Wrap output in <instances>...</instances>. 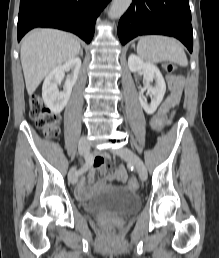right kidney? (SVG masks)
<instances>
[{
	"label": "right kidney",
	"instance_id": "right-kidney-1",
	"mask_svg": "<svg viewBox=\"0 0 219 258\" xmlns=\"http://www.w3.org/2000/svg\"><path fill=\"white\" fill-rule=\"evenodd\" d=\"M81 68V59L72 58L63 65L53 69L45 78L42 86V98L46 106L55 114H59L70 98L72 88L75 85ZM72 71L66 79L64 90L58 91L57 84L64 78L65 71Z\"/></svg>",
	"mask_w": 219,
	"mask_h": 258
}]
</instances>
